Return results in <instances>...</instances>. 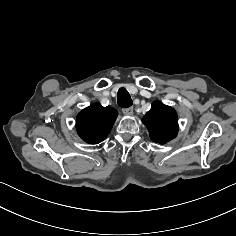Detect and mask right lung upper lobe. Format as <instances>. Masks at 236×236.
<instances>
[{"label": "right lung upper lobe", "instance_id": "1", "mask_svg": "<svg viewBox=\"0 0 236 236\" xmlns=\"http://www.w3.org/2000/svg\"><path fill=\"white\" fill-rule=\"evenodd\" d=\"M115 108L103 107L95 103L83 109L77 115L76 129L78 135L87 143L98 144L110 133L117 118Z\"/></svg>", "mask_w": 236, "mask_h": 236}]
</instances>
